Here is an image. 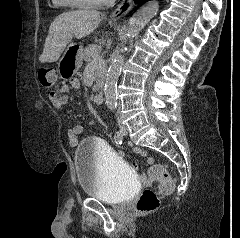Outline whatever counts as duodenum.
<instances>
[{"instance_id": "410a0bca", "label": "duodenum", "mask_w": 240, "mask_h": 238, "mask_svg": "<svg viewBox=\"0 0 240 238\" xmlns=\"http://www.w3.org/2000/svg\"><path fill=\"white\" fill-rule=\"evenodd\" d=\"M104 100V93L102 89H99L98 92L94 96V103L97 105L102 104Z\"/></svg>"}]
</instances>
